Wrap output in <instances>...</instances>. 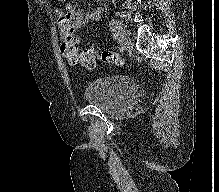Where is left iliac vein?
I'll return each mask as SVG.
<instances>
[{
	"instance_id": "left-iliac-vein-1",
	"label": "left iliac vein",
	"mask_w": 219,
	"mask_h": 192,
	"mask_svg": "<svg viewBox=\"0 0 219 192\" xmlns=\"http://www.w3.org/2000/svg\"><path fill=\"white\" fill-rule=\"evenodd\" d=\"M116 33L119 37V42H120L122 48L123 49L130 48L131 47V42H130L128 36H127L126 30L121 25L117 26Z\"/></svg>"
}]
</instances>
